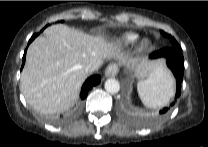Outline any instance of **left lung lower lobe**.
Returning a JSON list of instances; mask_svg holds the SVG:
<instances>
[{
    "instance_id": "left-lung-lower-lobe-1",
    "label": "left lung lower lobe",
    "mask_w": 208,
    "mask_h": 147,
    "mask_svg": "<svg viewBox=\"0 0 208 147\" xmlns=\"http://www.w3.org/2000/svg\"><path fill=\"white\" fill-rule=\"evenodd\" d=\"M159 57H165L167 59V65L173 72L175 78H176V96L175 99L178 98L181 94V91L179 90L181 83L183 81V73H184V58L181 52V49H177L175 47H167L163 48L159 51L153 52L150 56V58H159ZM174 105V102L171 104V106ZM168 111V108H164L160 113H165Z\"/></svg>"
}]
</instances>
